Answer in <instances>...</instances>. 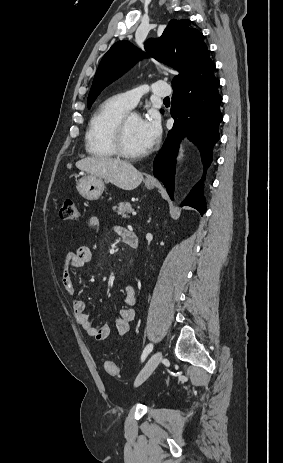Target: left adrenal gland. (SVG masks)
Here are the masks:
<instances>
[{
	"instance_id": "a2214340",
	"label": "left adrenal gland",
	"mask_w": 283,
	"mask_h": 463,
	"mask_svg": "<svg viewBox=\"0 0 283 463\" xmlns=\"http://www.w3.org/2000/svg\"><path fill=\"white\" fill-rule=\"evenodd\" d=\"M150 221H151V217L149 218V221H148V222H150Z\"/></svg>"
}]
</instances>
